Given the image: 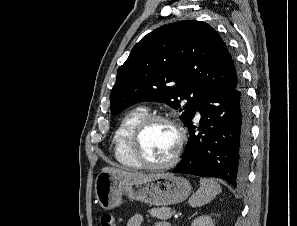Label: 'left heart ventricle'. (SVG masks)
Instances as JSON below:
<instances>
[{
  "instance_id": "1",
  "label": "left heart ventricle",
  "mask_w": 297,
  "mask_h": 226,
  "mask_svg": "<svg viewBox=\"0 0 297 226\" xmlns=\"http://www.w3.org/2000/svg\"><path fill=\"white\" fill-rule=\"evenodd\" d=\"M177 138V133L170 124L152 123L142 135L141 152L149 162H165L173 155Z\"/></svg>"
}]
</instances>
